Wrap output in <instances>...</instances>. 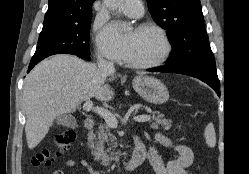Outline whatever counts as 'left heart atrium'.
<instances>
[{"mask_svg": "<svg viewBox=\"0 0 249 174\" xmlns=\"http://www.w3.org/2000/svg\"><path fill=\"white\" fill-rule=\"evenodd\" d=\"M100 43L107 48V50L116 59H127L131 40L129 38H121L116 30L115 25H111L107 30L100 36Z\"/></svg>", "mask_w": 249, "mask_h": 174, "instance_id": "obj_1", "label": "left heart atrium"}]
</instances>
